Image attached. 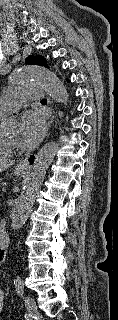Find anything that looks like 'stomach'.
<instances>
[{
	"label": "stomach",
	"instance_id": "obj_1",
	"mask_svg": "<svg viewBox=\"0 0 118 320\" xmlns=\"http://www.w3.org/2000/svg\"><path fill=\"white\" fill-rule=\"evenodd\" d=\"M28 168L21 165L17 166L14 170V174L17 176L24 175L27 172Z\"/></svg>",
	"mask_w": 118,
	"mask_h": 320
}]
</instances>
